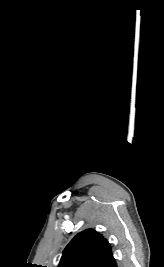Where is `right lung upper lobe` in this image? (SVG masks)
Returning a JSON list of instances; mask_svg holds the SVG:
<instances>
[{
	"label": "right lung upper lobe",
	"mask_w": 164,
	"mask_h": 267,
	"mask_svg": "<svg viewBox=\"0 0 164 267\" xmlns=\"http://www.w3.org/2000/svg\"><path fill=\"white\" fill-rule=\"evenodd\" d=\"M112 257L106 239L88 229L76 235L66 246L58 267H101Z\"/></svg>",
	"instance_id": "right-lung-upper-lobe-1"
}]
</instances>
